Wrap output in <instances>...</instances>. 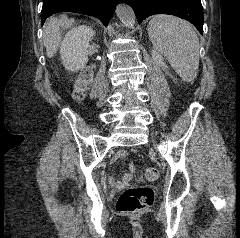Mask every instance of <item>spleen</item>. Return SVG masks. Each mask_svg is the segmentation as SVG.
<instances>
[{
    "mask_svg": "<svg viewBox=\"0 0 240 238\" xmlns=\"http://www.w3.org/2000/svg\"><path fill=\"white\" fill-rule=\"evenodd\" d=\"M149 39L185 82L195 79L199 68V39L191 25L169 15H155L147 27Z\"/></svg>",
    "mask_w": 240,
    "mask_h": 238,
    "instance_id": "spleen-1",
    "label": "spleen"
}]
</instances>
